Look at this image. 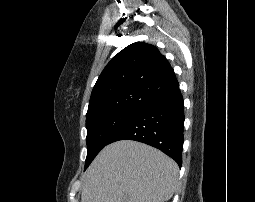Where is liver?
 Returning <instances> with one entry per match:
<instances>
[{
    "label": "liver",
    "instance_id": "obj_1",
    "mask_svg": "<svg viewBox=\"0 0 255 202\" xmlns=\"http://www.w3.org/2000/svg\"><path fill=\"white\" fill-rule=\"evenodd\" d=\"M179 167L160 150L131 140L107 145L86 171L81 202H165Z\"/></svg>",
    "mask_w": 255,
    "mask_h": 202
}]
</instances>
